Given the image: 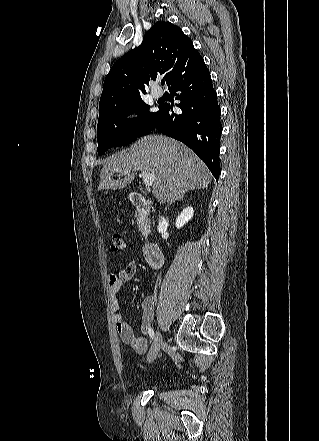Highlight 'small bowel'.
I'll list each match as a JSON object with an SVG mask.
<instances>
[{
  "instance_id": "1",
  "label": "small bowel",
  "mask_w": 319,
  "mask_h": 441,
  "mask_svg": "<svg viewBox=\"0 0 319 441\" xmlns=\"http://www.w3.org/2000/svg\"><path fill=\"white\" fill-rule=\"evenodd\" d=\"M137 270L136 261H130L118 273L111 274L108 279V289L111 298V307L114 311L122 308L119 293L122 286L133 278ZM156 298L154 295L145 297L142 301L141 336H136L131 326L124 320L120 313L114 315V322L121 340L131 347L136 353L144 354L148 349L147 332L154 317Z\"/></svg>"
}]
</instances>
